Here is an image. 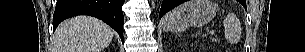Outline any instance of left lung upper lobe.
<instances>
[{"mask_svg": "<svg viewBox=\"0 0 305 52\" xmlns=\"http://www.w3.org/2000/svg\"><path fill=\"white\" fill-rule=\"evenodd\" d=\"M240 2H241V1H240ZM241 3H242V5H244V6L246 5V3H243V2H241Z\"/></svg>", "mask_w": 305, "mask_h": 52, "instance_id": "1", "label": "left lung upper lobe"}]
</instances>
